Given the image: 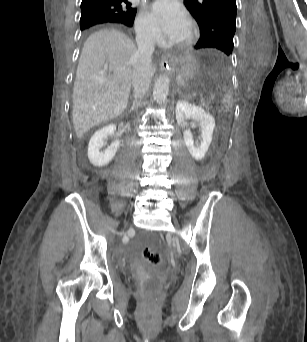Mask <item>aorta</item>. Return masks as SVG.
<instances>
[{
	"mask_svg": "<svg viewBox=\"0 0 307 342\" xmlns=\"http://www.w3.org/2000/svg\"><path fill=\"white\" fill-rule=\"evenodd\" d=\"M170 88V78L167 74H163V76H159L157 78L154 88H153V100H155L156 104L162 106L165 104Z\"/></svg>",
	"mask_w": 307,
	"mask_h": 342,
	"instance_id": "obj_1",
	"label": "aorta"
}]
</instances>
